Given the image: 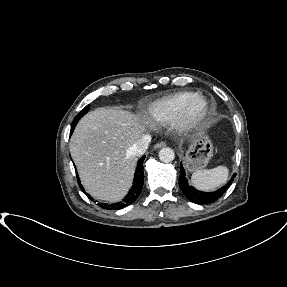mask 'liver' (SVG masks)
<instances>
[{
    "label": "liver",
    "mask_w": 287,
    "mask_h": 287,
    "mask_svg": "<svg viewBox=\"0 0 287 287\" xmlns=\"http://www.w3.org/2000/svg\"><path fill=\"white\" fill-rule=\"evenodd\" d=\"M148 119L117 107L97 108L77 124L71 156L85 190L94 198L120 201L132 185L138 156L130 152Z\"/></svg>",
    "instance_id": "1"
}]
</instances>
